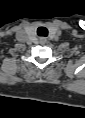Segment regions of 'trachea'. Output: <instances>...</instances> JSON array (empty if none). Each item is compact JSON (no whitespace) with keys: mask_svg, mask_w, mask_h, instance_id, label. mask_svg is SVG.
I'll return each instance as SVG.
<instances>
[{"mask_svg":"<svg viewBox=\"0 0 85 118\" xmlns=\"http://www.w3.org/2000/svg\"><path fill=\"white\" fill-rule=\"evenodd\" d=\"M37 35L41 37L48 36V29L46 27H39L37 29Z\"/></svg>","mask_w":85,"mask_h":118,"instance_id":"obj_1","label":"trachea"}]
</instances>
